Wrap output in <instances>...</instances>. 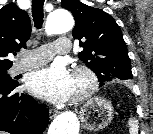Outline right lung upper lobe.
Returning a JSON list of instances; mask_svg holds the SVG:
<instances>
[{"label": "right lung upper lobe", "instance_id": "obj_1", "mask_svg": "<svg viewBox=\"0 0 153 134\" xmlns=\"http://www.w3.org/2000/svg\"><path fill=\"white\" fill-rule=\"evenodd\" d=\"M31 34V23L28 14L14 3L0 9V70L12 66L7 56L26 48Z\"/></svg>", "mask_w": 153, "mask_h": 134}]
</instances>
